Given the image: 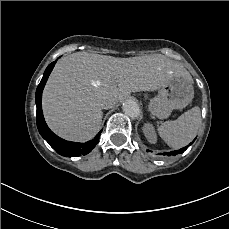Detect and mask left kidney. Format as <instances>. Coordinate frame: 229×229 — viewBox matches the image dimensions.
Returning <instances> with one entry per match:
<instances>
[{
  "label": "left kidney",
  "instance_id": "obj_1",
  "mask_svg": "<svg viewBox=\"0 0 229 229\" xmlns=\"http://www.w3.org/2000/svg\"><path fill=\"white\" fill-rule=\"evenodd\" d=\"M143 131L145 132V135L147 139L149 140V142L154 143L155 142V133H154L152 126L149 124H145Z\"/></svg>",
  "mask_w": 229,
  "mask_h": 229
}]
</instances>
